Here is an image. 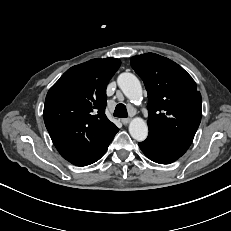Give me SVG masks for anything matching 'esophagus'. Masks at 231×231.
Segmentation results:
<instances>
[{
	"label": "esophagus",
	"instance_id": "1",
	"mask_svg": "<svg viewBox=\"0 0 231 231\" xmlns=\"http://www.w3.org/2000/svg\"><path fill=\"white\" fill-rule=\"evenodd\" d=\"M121 122H122L124 125H127V124L130 122V118H123V119H121Z\"/></svg>",
	"mask_w": 231,
	"mask_h": 231
}]
</instances>
